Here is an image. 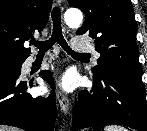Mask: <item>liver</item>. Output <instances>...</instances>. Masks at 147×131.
I'll list each match as a JSON object with an SVG mask.
<instances>
[{
    "instance_id": "liver-1",
    "label": "liver",
    "mask_w": 147,
    "mask_h": 131,
    "mask_svg": "<svg viewBox=\"0 0 147 131\" xmlns=\"http://www.w3.org/2000/svg\"><path fill=\"white\" fill-rule=\"evenodd\" d=\"M0 131H19L17 128H11L8 126H0Z\"/></svg>"
}]
</instances>
